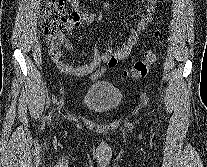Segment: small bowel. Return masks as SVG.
I'll return each instance as SVG.
<instances>
[{
  "mask_svg": "<svg viewBox=\"0 0 207 167\" xmlns=\"http://www.w3.org/2000/svg\"><path fill=\"white\" fill-rule=\"evenodd\" d=\"M156 1L143 0L138 11V21L131 28L127 39L118 49H114L112 43L107 45L104 52H100L98 47H95L90 63L79 67H72L63 62V51L59 47L63 44L66 50H72L74 45L71 39H65L62 36L57 44H51L50 46L53 63L63 74L75 75L90 80L102 76L108 69L115 67L118 61L126 58L131 53L133 47L138 43L139 38L152 21ZM67 2L73 11V17L69 22L68 31L71 32L82 25L92 24L95 21V16L82 6L80 0H67Z\"/></svg>",
  "mask_w": 207,
  "mask_h": 167,
  "instance_id": "c3829d8e",
  "label": "small bowel"
}]
</instances>
